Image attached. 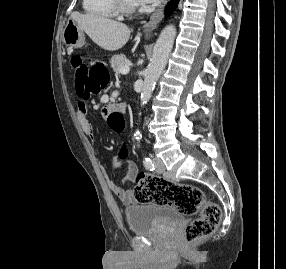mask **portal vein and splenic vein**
<instances>
[{"mask_svg": "<svg viewBox=\"0 0 286 269\" xmlns=\"http://www.w3.org/2000/svg\"><path fill=\"white\" fill-rule=\"evenodd\" d=\"M129 71H130V67H129L128 65L125 66V67H122V68L120 69V73L123 74V75L128 74Z\"/></svg>", "mask_w": 286, "mask_h": 269, "instance_id": "18ae733b", "label": "portal vein and splenic vein"}]
</instances>
